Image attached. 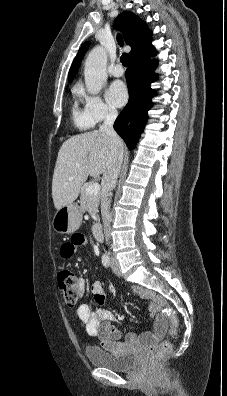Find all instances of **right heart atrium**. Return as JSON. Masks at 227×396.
<instances>
[{"mask_svg": "<svg viewBox=\"0 0 227 396\" xmlns=\"http://www.w3.org/2000/svg\"><path fill=\"white\" fill-rule=\"evenodd\" d=\"M80 96L84 103V112L94 125L110 121L117 116V110L104 102L100 96L87 94L83 91L80 92Z\"/></svg>", "mask_w": 227, "mask_h": 396, "instance_id": "obj_1", "label": "right heart atrium"}]
</instances>
